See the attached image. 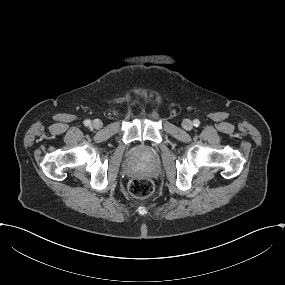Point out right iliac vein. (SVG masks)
I'll return each instance as SVG.
<instances>
[{"label":"right iliac vein","mask_w":285,"mask_h":285,"mask_svg":"<svg viewBox=\"0 0 285 285\" xmlns=\"http://www.w3.org/2000/svg\"><path fill=\"white\" fill-rule=\"evenodd\" d=\"M92 127L95 129H100V128H102V122L100 120L96 119L92 122Z\"/></svg>","instance_id":"1"}]
</instances>
